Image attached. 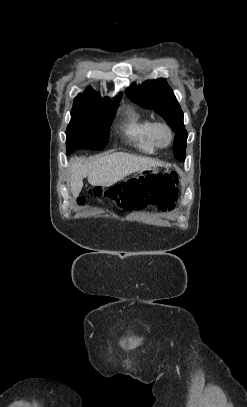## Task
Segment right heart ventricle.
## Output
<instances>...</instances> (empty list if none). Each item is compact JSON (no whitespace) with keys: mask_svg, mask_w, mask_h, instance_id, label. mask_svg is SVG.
<instances>
[{"mask_svg":"<svg viewBox=\"0 0 247 407\" xmlns=\"http://www.w3.org/2000/svg\"><path fill=\"white\" fill-rule=\"evenodd\" d=\"M154 121L137 112H130L123 126L128 140L144 153H154L157 145L153 139Z\"/></svg>","mask_w":247,"mask_h":407,"instance_id":"e07e8e85","label":"right heart ventricle"}]
</instances>
